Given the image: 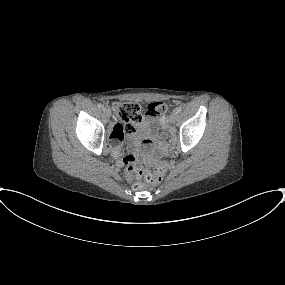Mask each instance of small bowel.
Returning <instances> with one entry per match:
<instances>
[{
	"label": "small bowel",
	"instance_id": "1",
	"mask_svg": "<svg viewBox=\"0 0 285 285\" xmlns=\"http://www.w3.org/2000/svg\"><path fill=\"white\" fill-rule=\"evenodd\" d=\"M153 123L154 117L148 115L145 117L144 121L136 127L135 131L128 134L132 140L131 155L134 156V158L140 156L142 142L151 136ZM125 136L126 132L121 129V126L119 124L115 125L111 132V153L112 157L119 164L122 161V147ZM126 179L130 181L131 174L127 173Z\"/></svg>",
	"mask_w": 285,
	"mask_h": 285
}]
</instances>
